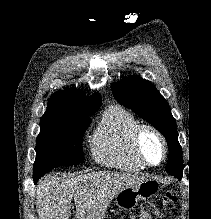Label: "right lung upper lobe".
Masks as SVG:
<instances>
[{
  "label": "right lung upper lobe",
  "mask_w": 211,
  "mask_h": 219,
  "mask_svg": "<svg viewBox=\"0 0 211 219\" xmlns=\"http://www.w3.org/2000/svg\"><path fill=\"white\" fill-rule=\"evenodd\" d=\"M101 104L98 93L85 98L83 93L73 88L59 90L50 97L45 115L55 117L89 115L97 112Z\"/></svg>",
  "instance_id": "1"
}]
</instances>
